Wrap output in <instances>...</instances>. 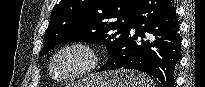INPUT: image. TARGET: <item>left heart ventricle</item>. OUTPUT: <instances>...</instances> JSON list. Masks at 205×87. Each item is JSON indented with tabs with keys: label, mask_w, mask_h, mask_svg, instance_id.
I'll list each match as a JSON object with an SVG mask.
<instances>
[{
	"label": "left heart ventricle",
	"mask_w": 205,
	"mask_h": 87,
	"mask_svg": "<svg viewBox=\"0 0 205 87\" xmlns=\"http://www.w3.org/2000/svg\"><path fill=\"white\" fill-rule=\"evenodd\" d=\"M85 56L77 50H70L62 53L54 63L56 76H64L76 70L85 62Z\"/></svg>",
	"instance_id": "b2bd125f"
}]
</instances>
